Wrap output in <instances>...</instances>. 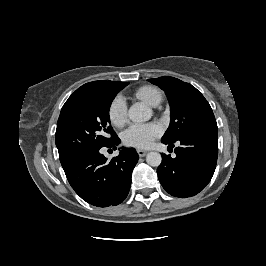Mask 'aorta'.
Wrapping results in <instances>:
<instances>
[{
  "mask_svg": "<svg viewBox=\"0 0 266 266\" xmlns=\"http://www.w3.org/2000/svg\"><path fill=\"white\" fill-rule=\"evenodd\" d=\"M129 118L133 122L141 123L148 121L152 116V111L143 103L133 104L128 112ZM162 157L158 152H149L146 156V162L152 167H157L161 164Z\"/></svg>",
  "mask_w": 266,
  "mask_h": 266,
  "instance_id": "1",
  "label": "aorta"
}]
</instances>
